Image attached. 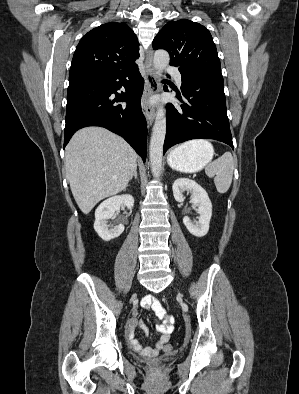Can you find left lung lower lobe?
Returning a JSON list of instances; mask_svg holds the SVG:
<instances>
[{
	"label": "left lung lower lobe",
	"instance_id": "1",
	"mask_svg": "<svg viewBox=\"0 0 299 394\" xmlns=\"http://www.w3.org/2000/svg\"><path fill=\"white\" fill-rule=\"evenodd\" d=\"M165 91H168L165 86ZM179 106L168 103L163 154L173 145L196 138L215 139L233 148L226 112L223 77L212 73L182 75Z\"/></svg>",
	"mask_w": 299,
	"mask_h": 394
}]
</instances>
